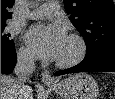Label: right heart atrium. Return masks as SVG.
<instances>
[{"mask_svg": "<svg viewBox=\"0 0 115 99\" xmlns=\"http://www.w3.org/2000/svg\"><path fill=\"white\" fill-rule=\"evenodd\" d=\"M18 58L23 63H31L33 60L31 52L25 47L19 49Z\"/></svg>", "mask_w": 115, "mask_h": 99, "instance_id": "obj_1", "label": "right heart atrium"}]
</instances>
